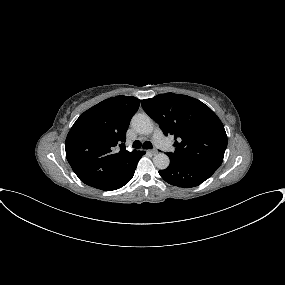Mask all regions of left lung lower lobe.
<instances>
[{
	"label": "left lung lower lobe",
	"mask_w": 285,
	"mask_h": 285,
	"mask_svg": "<svg viewBox=\"0 0 285 285\" xmlns=\"http://www.w3.org/2000/svg\"><path fill=\"white\" fill-rule=\"evenodd\" d=\"M216 170L202 166L185 164L170 160V165L164 170H160V176L169 184L191 188L200 185L207 180Z\"/></svg>",
	"instance_id": "obj_1"
}]
</instances>
